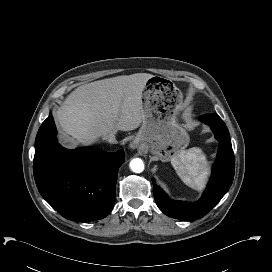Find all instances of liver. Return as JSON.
<instances>
[{"label": "liver", "mask_w": 272, "mask_h": 272, "mask_svg": "<svg viewBox=\"0 0 272 272\" xmlns=\"http://www.w3.org/2000/svg\"><path fill=\"white\" fill-rule=\"evenodd\" d=\"M152 76L148 73L117 76L75 89L56 113L63 132L71 136L70 146L89 145L119 130L138 128L144 117L142 92Z\"/></svg>", "instance_id": "obj_1"}]
</instances>
